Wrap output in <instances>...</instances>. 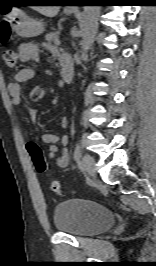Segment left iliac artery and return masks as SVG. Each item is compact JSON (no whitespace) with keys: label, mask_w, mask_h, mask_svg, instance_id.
Here are the masks:
<instances>
[{"label":"left iliac artery","mask_w":156,"mask_h":266,"mask_svg":"<svg viewBox=\"0 0 156 266\" xmlns=\"http://www.w3.org/2000/svg\"><path fill=\"white\" fill-rule=\"evenodd\" d=\"M73 157H74L75 161H78L80 159V157H81V146H80L79 142L76 144V147L74 149Z\"/></svg>","instance_id":"left-iliac-artery-1"}]
</instances>
